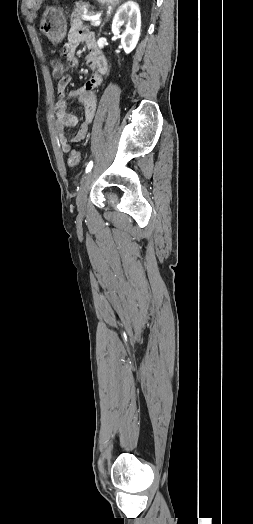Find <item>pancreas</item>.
Instances as JSON below:
<instances>
[{
	"label": "pancreas",
	"instance_id": "pancreas-1",
	"mask_svg": "<svg viewBox=\"0 0 253 524\" xmlns=\"http://www.w3.org/2000/svg\"><path fill=\"white\" fill-rule=\"evenodd\" d=\"M89 7L90 5L88 3H85L82 1L77 2L71 14V18L81 19L84 14H88V15L93 14V11H89Z\"/></svg>",
	"mask_w": 253,
	"mask_h": 524
}]
</instances>
